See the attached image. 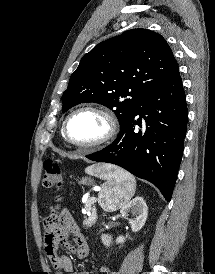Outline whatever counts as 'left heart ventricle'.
Here are the masks:
<instances>
[{"label": "left heart ventricle", "instance_id": "b2bd125f", "mask_svg": "<svg viewBox=\"0 0 215 274\" xmlns=\"http://www.w3.org/2000/svg\"><path fill=\"white\" fill-rule=\"evenodd\" d=\"M106 130L107 125L104 118L90 111L76 114L68 125L70 138L78 143L93 142L101 138Z\"/></svg>", "mask_w": 215, "mask_h": 274}]
</instances>
